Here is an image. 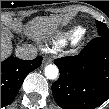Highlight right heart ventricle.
<instances>
[{
  "mask_svg": "<svg viewBox=\"0 0 109 109\" xmlns=\"http://www.w3.org/2000/svg\"><path fill=\"white\" fill-rule=\"evenodd\" d=\"M85 31L86 30L83 27H80V26L74 27L69 32L65 33L64 35L58 36L54 40V44H56V45L63 44V43H66L68 41H71V40H77L84 35Z\"/></svg>",
  "mask_w": 109,
  "mask_h": 109,
  "instance_id": "right-heart-ventricle-1",
  "label": "right heart ventricle"
}]
</instances>
